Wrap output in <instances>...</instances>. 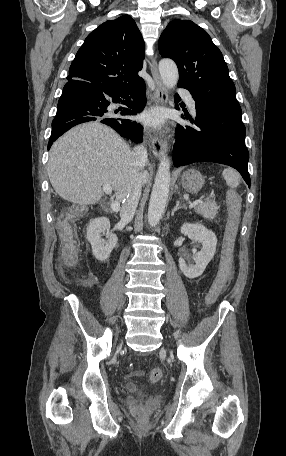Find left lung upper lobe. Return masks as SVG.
Masks as SVG:
<instances>
[{"mask_svg": "<svg viewBox=\"0 0 286 456\" xmlns=\"http://www.w3.org/2000/svg\"><path fill=\"white\" fill-rule=\"evenodd\" d=\"M159 52L175 61L178 86L193 98L241 112L222 53L201 27L190 20L171 21L159 39Z\"/></svg>", "mask_w": 286, "mask_h": 456, "instance_id": "obj_1", "label": "left lung upper lobe"}]
</instances>
